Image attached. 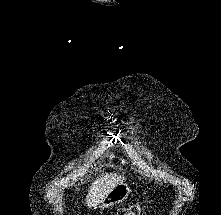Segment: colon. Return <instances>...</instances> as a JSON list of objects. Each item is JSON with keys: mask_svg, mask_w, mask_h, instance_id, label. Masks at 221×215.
Returning <instances> with one entry per match:
<instances>
[{"mask_svg": "<svg viewBox=\"0 0 221 215\" xmlns=\"http://www.w3.org/2000/svg\"><path fill=\"white\" fill-rule=\"evenodd\" d=\"M142 213H144V208L137 203H133L120 209L117 215H141Z\"/></svg>", "mask_w": 221, "mask_h": 215, "instance_id": "5ec220e1", "label": "colon"}]
</instances>
